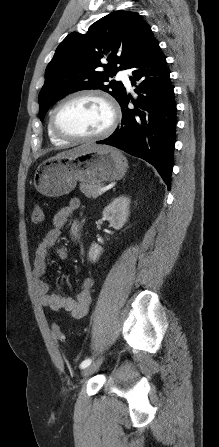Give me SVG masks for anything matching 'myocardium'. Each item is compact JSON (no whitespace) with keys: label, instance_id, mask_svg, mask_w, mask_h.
Returning a JSON list of instances; mask_svg holds the SVG:
<instances>
[{"label":"myocardium","instance_id":"f54148a6","mask_svg":"<svg viewBox=\"0 0 219 447\" xmlns=\"http://www.w3.org/2000/svg\"><path fill=\"white\" fill-rule=\"evenodd\" d=\"M86 96L97 97V98L101 99L103 102H105V104L108 106V108L110 110L109 124L101 132L94 134V135H89V136H75V135H71V134L63 132L57 125V114H58L59 110L61 109V107L63 105H65L69 101L79 98V97H86ZM119 119H120L119 106L116 103V101L112 98L111 95H109L108 93H106L104 91L98 90V89H82V90H78V91H75V92L67 95L66 97H64L63 99H61L58 102V104L55 106V108L53 109V111L50 115V126H51L53 133L65 141L75 142V143L90 142V141L100 140V139L106 138L109 135H111L114 132V130L116 129V127L119 123Z\"/></svg>","mask_w":219,"mask_h":447}]
</instances>
